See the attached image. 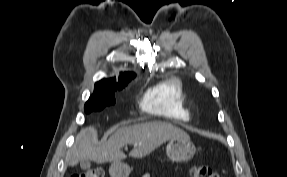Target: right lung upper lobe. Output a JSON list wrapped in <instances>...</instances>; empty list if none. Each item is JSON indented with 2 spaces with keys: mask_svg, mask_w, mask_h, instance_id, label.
Listing matches in <instances>:
<instances>
[{
  "mask_svg": "<svg viewBox=\"0 0 287 177\" xmlns=\"http://www.w3.org/2000/svg\"><path fill=\"white\" fill-rule=\"evenodd\" d=\"M134 77H135L134 73L125 72L120 75L118 81H116V78L103 79L97 82L95 85L103 86V87H114V86L126 84L129 81H131Z\"/></svg>",
  "mask_w": 287,
  "mask_h": 177,
  "instance_id": "right-lung-upper-lobe-1",
  "label": "right lung upper lobe"
}]
</instances>
